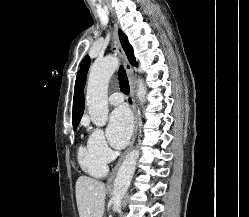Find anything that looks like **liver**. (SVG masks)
Instances as JSON below:
<instances>
[{
	"label": "liver",
	"mask_w": 249,
	"mask_h": 217,
	"mask_svg": "<svg viewBox=\"0 0 249 217\" xmlns=\"http://www.w3.org/2000/svg\"><path fill=\"white\" fill-rule=\"evenodd\" d=\"M75 189L79 216L102 217L106 196L105 184L88 176H80Z\"/></svg>",
	"instance_id": "1"
}]
</instances>
